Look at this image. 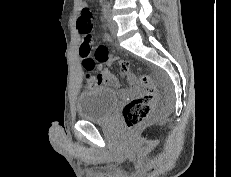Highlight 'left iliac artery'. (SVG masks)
Listing matches in <instances>:
<instances>
[{
    "mask_svg": "<svg viewBox=\"0 0 231 177\" xmlns=\"http://www.w3.org/2000/svg\"><path fill=\"white\" fill-rule=\"evenodd\" d=\"M111 8H110V4L106 3L103 7V15L105 19H108V16L110 14Z\"/></svg>",
    "mask_w": 231,
    "mask_h": 177,
    "instance_id": "1",
    "label": "left iliac artery"
}]
</instances>
